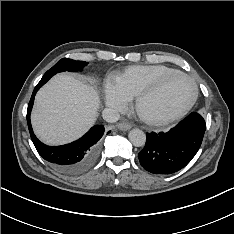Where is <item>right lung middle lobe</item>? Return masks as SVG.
I'll use <instances>...</instances> for the list:
<instances>
[{
  "mask_svg": "<svg viewBox=\"0 0 234 234\" xmlns=\"http://www.w3.org/2000/svg\"><path fill=\"white\" fill-rule=\"evenodd\" d=\"M86 64H87V62H84V61H75V60H72V59L63 58V59L59 60V62H57L50 70H48L44 74V76L42 77L40 82H42V84H45L53 75H55L58 72H62V71H72V72L82 71V69L84 68V66Z\"/></svg>",
  "mask_w": 234,
  "mask_h": 234,
  "instance_id": "obj_1",
  "label": "right lung middle lobe"
}]
</instances>
